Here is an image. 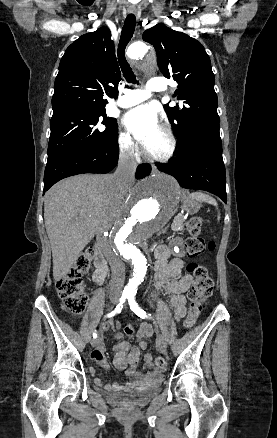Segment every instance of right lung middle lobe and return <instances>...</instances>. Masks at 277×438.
I'll list each match as a JSON object with an SVG mask.
<instances>
[{
    "instance_id": "dd1d6c3e",
    "label": "right lung middle lobe",
    "mask_w": 277,
    "mask_h": 438,
    "mask_svg": "<svg viewBox=\"0 0 277 438\" xmlns=\"http://www.w3.org/2000/svg\"><path fill=\"white\" fill-rule=\"evenodd\" d=\"M48 161L69 152L112 146L117 141V120L106 112L52 116Z\"/></svg>"
}]
</instances>
